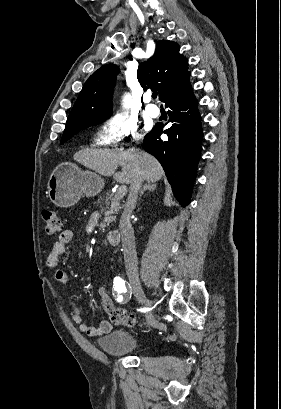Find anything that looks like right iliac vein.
<instances>
[{"label": "right iliac vein", "mask_w": 281, "mask_h": 409, "mask_svg": "<svg viewBox=\"0 0 281 409\" xmlns=\"http://www.w3.org/2000/svg\"><path fill=\"white\" fill-rule=\"evenodd\" d=\"M131 288L132 291L137 299V301L139 303H141L142 305H144L147 309H151V302L149 301V299H147L141 284L138 281H132L131 282ZM147 318V325L150 326L153 324V316L150 312L147 313L146 315Z\"/></svg>", "instance_id": "right-iliac-vein-1"}]
</instances>
